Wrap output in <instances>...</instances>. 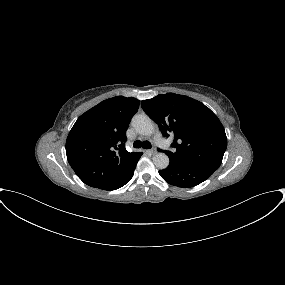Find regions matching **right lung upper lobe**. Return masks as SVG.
I'll return each instance as SVG.
<instances>
[{
  "mask_svg": "<svg viewBox=\"0 0 285 285\" xmlns=\"http://www.w3.org/2000/svg\"><path fill=\"white\" fill-rule=\"evenodd\" d=\"M140 101L116 96L82 114L66 141L67 159L87 185L104 188L127 178L142 153L125 149L126 130Z\"/></svg>",
  "mask_w": 285,
  "mask_h": 285,
  "instance_id": "right-lung-upper-lobe-1",
  "label": "right lung upper lobe"
}]
</instances>
